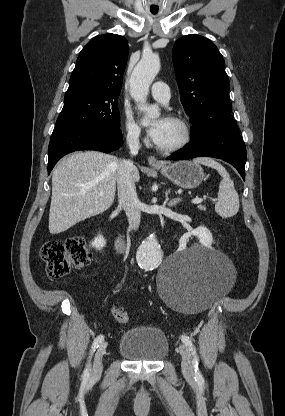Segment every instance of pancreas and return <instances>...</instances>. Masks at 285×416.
I'll return each mask as SVG.
<instances>
[{
	"instance_id": "1",
	"label": "pancreas",
	"mask_w": 285,
	"mask_h": 416,
	"mask_svg": "<svg viewBox=\"0 0 285 416\" xmlns=\"http://www.w3.org/2000/svg\"><path fill=\"white\" fill-rule=\"evenodd\" d=\"M199 210H206L205 206H198Z\"/></svg>"
}]
</instances>
